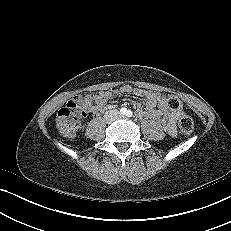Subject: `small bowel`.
Here are the masks:
<instances>
[{"label": "small bowel", "instance_id": "obj_1", "mask_svg": "<svg viewBox=\"0 0 231 231\" xmlns=\"http://www.w3.org/2000/svg\"><path fill=\"white\" fill-rule=\"evenodd\" d=\"M116 94H134L144 98V106L137 104L139 117L158 120L165 132L175 135L176 122L181 117L180 111L171 110L166 104V97L152 91H146L131 85H123L115 90H102L96 95L78 96L80 108L86 113H99L106 110V103Z\"/></svg>", "mask_w": 231, "mask_h": 231}]
</instances>
